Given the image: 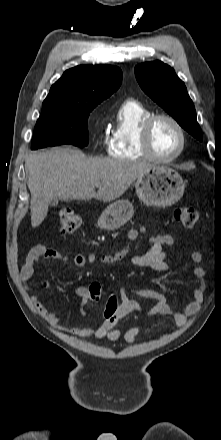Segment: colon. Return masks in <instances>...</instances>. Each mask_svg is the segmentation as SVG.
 I'll return each instance as SVG.
<instances>
[{
  "label": "colon",
  "instance_id": "colon-1",
  "mask_svg": "<svg viewBox=\"0 0 221 440\" xmlns=\"http://www.w3.org/2000/svg\"><path fill=\"white\" fill-rule=\"evenodd\" d=\"M175 219L185 228H192L198 221V212L192 206H179L174 212ZM59 232L67 235L77 230L82 224L81 215L71 208H62L58 215ZM101 285L94 282L90 285L88 304L97 302L101 298ZM119 297H106L105 303L101 306L100 312L104 321H113L114 312L118 309Z\"/></svg>",
  "mask_w": 221,
  "mask_h": 440
}]
</instances>
